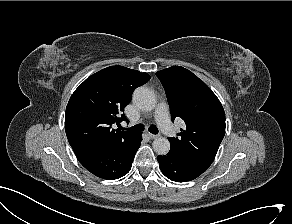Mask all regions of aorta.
I'll list each match as a JSON object with an SVG mask.
<instances>
[{
	"instance_id": "1",
	"label": "aorta",
	"mask_w": 292,
	"mask_h": 224,
	"mask_svg": "<svg viewBox=\"0 0 292 224\" xmlns=\"http://www.w3.org/2000/svg\"><path fill=\"white\" fill-rule=\"evenodd\" d=\"M133 101L140 109L146 111L153 110L157 103L154 92L143 86L134 91ZM153 149L158 155H166L170 150V142L164 137L156 138L153 141Z\"/></svg>"
}]
</instances>
